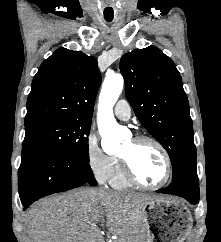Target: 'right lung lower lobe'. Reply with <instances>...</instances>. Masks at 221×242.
<instances>
[{
	"instance_id": "right-lung-lower-lobe-1",
	"label": "right lung lower lobe",
	"mask_w": 221,
	"mask_h": 242,
	"mask_svg": "<svg viewBox=\"0 0 221 242\" xmlns=\"http://www.w3.org/2000/svg\"><path fill=\"white\" fill-rule=\"evenodd\" d=\"M86 183L97 184L89 162L48 148L22 149L18 189L25 208L44 196Z\"/></svg>"
}]
</instances>
